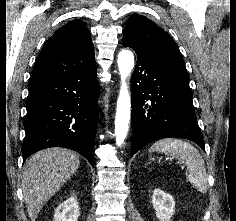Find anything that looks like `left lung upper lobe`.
<instances>
[{"label":"left lung upper lobe","mask_w":236,"mask_h":221,"mask_svg":"<svg viewBox=\"0 0 236 221\" xmlns=\"http://www.w3.org/2000/svg\"><path fill=\"white\" fill-rule=\"evenodd\" d=\"M123 41L128 42L136 50L186 70L174 40L145 16L134 14L129 18L124 29Z\"/></svg>","instance_id":"left-lung-upper-lobe-1"}]
</instances>
